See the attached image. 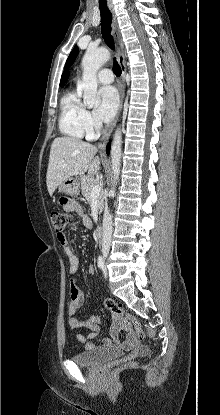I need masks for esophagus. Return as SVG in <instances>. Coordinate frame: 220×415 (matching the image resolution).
Wrapping results in <instances>:
<instances>
[{
  "label": "esophagus",
  "instance_id": "1",
  "mask_svg": "<svg viewBox=\"0 0 220 415\" xmlns=\"http://www.w3.org/2000/svg\"><path fill=\"white\" fill-rule=\"evenodd\" d=\"M108 8L111 11L112 14V35L116 44V51H117V58H118V63L120 65L121 68V77H120V81H119V95H120V104H119V108H118V112L117 115L114 119V121L112 122L110 128L107 130V132L104 134L103 138L101 139L98 147L100 149V151L103 153L105 151L106 148V144L107 141L109 139V137L111 136L116 123L119 119L122 107H123V102H124V98H125V87H124V81H125V74H126V65H125V51H124V47L120 41V34H119V29H118V22H117V16L115 13V9L112 3H108Z\"/></svg>",
  "mask_w": 220,
  "mask_h": 415
}]
</instances>
